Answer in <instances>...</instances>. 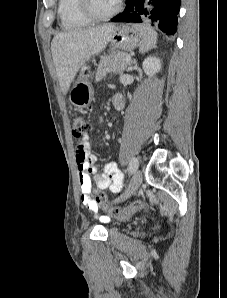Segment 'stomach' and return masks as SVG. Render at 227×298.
<instances>
[{
    "mask_svg": "<svg viewBox=\"0 0 227 298\" xmlns=\"http://www.w3.org/2000/svg\"><path fill=\"white\" fill-rule=\"evenodd\" d=\"M140 32L130 25H118L115 27L110 39V47L122 51H131L141 43ZM92 76L91 68L84 65L81 68L79 78L70 91V101L77 108H86L93 98V87L90 82Z\"/></svg>",
    "mask_w": 227,
    "mask_h": 298,
    "instance_id": "stomach-1",
    "label": "stomach"
}]
</instances>
